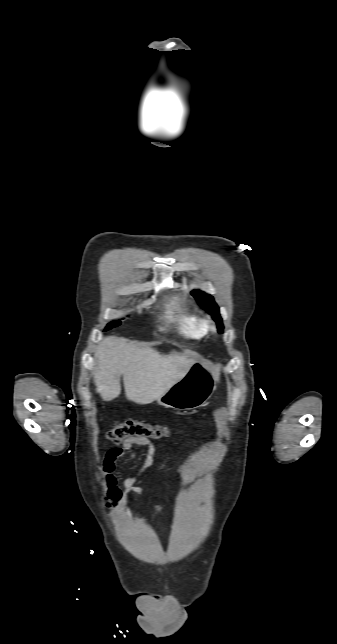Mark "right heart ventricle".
I'll use <instances>...</instances> for the list:
<instances>
[{"label":"right heart ventricle","mask_w":337,"mask_h":644,"mask_svg":"<svg viewBox=\"0 0 337 644\" xmlns=\"http://www.w3.org/2000/svg\"><path fill=\"white\" fill-rule=\"evenodd\" d=\"M168 313L177 332L191 340H200L206 334V321L181 298L169 302Z\"/></svg>","instance_id":"1"}]
</instances>
